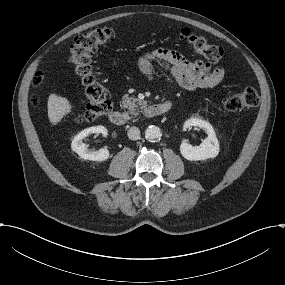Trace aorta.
Instances as JSON below:
<instances>
[{
    "label": "aorta",
    "mask_w": 285,
    "mask_h": 285,
    "mask_svg": "<svg viewBox=\"0 0 285 285\" xmlns=\"http://www.w3.org/2000/svg\"><path fill=\"white\" fill-rule=\"evenodd\" d=\"M145 137L149 141L159 140L161 137V130L159 127L151 125L145 131Z\"/></svg>",
    "instance_id": "762f6f07"
}]
</instances>
